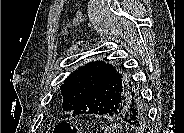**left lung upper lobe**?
Instances as JSON below:
<instances>
[{"label": "left lung upper lobe", "instance_id": "5c2ea615", "mask_svg": "<svg viewBox=\"0 0 184 133\" xmlns=\"http://www.w3.org/2000/svg\"><path fill=\"white\" fill-rule=\"evenodd\" d=\"M98 66L99 61L89 62L85 66L79 67L65 79L64 84L60 86V90L63 95V110L74 111L80 102L86 98L93 87L95 73ZM112 67L117 71L118 75L124 79V81H129L130 77L124 68L117 66ZM134 84L136 85V83ZM133 91H136V89ZM96 96L97 94L94 96L91 95L89 97V101L90 99H95ZM132 110L137 115V124L142 125L146 119V106L142 96L138 97L136 104L132 107Z\"/></svg>", "mask_w": 184, "mask_h": 133}]
</instances>
